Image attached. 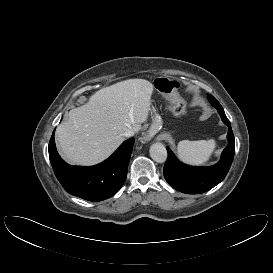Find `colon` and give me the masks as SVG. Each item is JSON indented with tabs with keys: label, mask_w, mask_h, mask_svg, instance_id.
<instances>
[{
	"label": "colon",
	"mask_w": 273,
	"mask_h": 273,
	"mask_svg": "<svg viewBox=\"0 0 273 273\" xmlns=\"http://www.w3.org/2000/svg\"><path fill=\"white\" fill-rule=\"evenodd\" d=\"M155 86L159 91L163 93H171L178 88V83L167 78H158L155 81ZM175 111L178 114H183L185 111V107L183 105H178Z\"/></svg>",
	"instance_id": "obj_1"
}]
</instances>
